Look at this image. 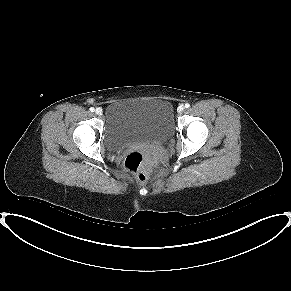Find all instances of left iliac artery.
I'll use <instances>...</instances> for the list:
<instances>
[{
  "mask_svg": "<svg viewBox=\"0 0 291 291\" xmlns=\"http://www.w3.org/2000/svg\"><path fill=\"white\" fill-rule=\"evenodd\" d=\"M185 107H186V108H189V107H190V104L186 103V104H185Z\"/></svg>",
  "mask_w": 291,
  "mask_h": 291,
  "instance_id": "44dca946",
  "label": "left iliac artery"
}]
</instances>
